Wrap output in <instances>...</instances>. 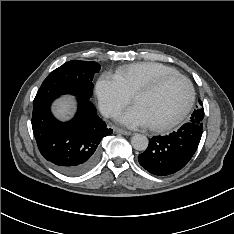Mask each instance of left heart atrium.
I'll use <instances>...</instances> for the list:
<instances>
[{
	"label": "left heart atrium",
	"instance_id": "left-heart-atrium-1",
	"mask_svg": "<svg viewBox=\"0 0 234 234\" xmlns=\"http://www.w3.org/2000/svg\"><path fill=\"white\" fill-rule=\"evenodd\" d=\"M118 121L121 123L130 126V127H138V126H149V120L144 114L143 110L134 105L133 107L127 109L126 111L120 113L117 116Z\"/></svg>",
	"mask_w": 234,
	"mask_h": 234
}]
</instances>
